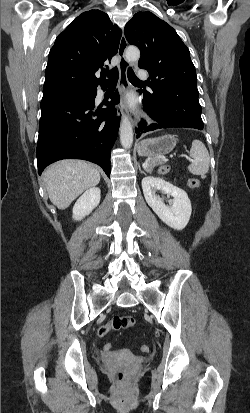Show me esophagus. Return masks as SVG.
<instances>
[{
	"label": "esophagus",
	"instance_id": "esophagus-1",
	"mask_svg": "<svg viewBox=\"0 0 250 413\" xmlns=\"http://www.w3.org/2000/svg\"><path fill=\"white\" fill-rule=\"evenodd\" d=\"M127 44L128 43L125 38V35L122 34V37L120 39L119 49H118V56H119L118 68H119V73H120L119 85L123 92H125L128 89L127 69H128L129 63L125 56ZM130 121L133 126L137 125L138 120L134 112L130 113Z\"/></svg>",
	"mask_w": 250,
	"mask_h": 413
}]
</instances>
